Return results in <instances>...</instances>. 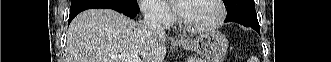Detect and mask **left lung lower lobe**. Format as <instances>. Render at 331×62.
<instances>
[{"mask_svg":"<svg viewBox=\"0 0 331 62\" xmlns=\"http://www.w3.org/2000/svg\"><path fill=\"white\" fill-rule=\"evenodd\" d=\"M225 22H236L243 26L251 27L252 29H254L256 32H258L260 34L258 20L254 21V20H249V19H234V20H229V21L225 20Z\"/></svg>","mask_w":331,"mask_h":62,"instance_id":"left-lung-lower-lobe-1","label":"left lung lower lobe"}]
</instances>
